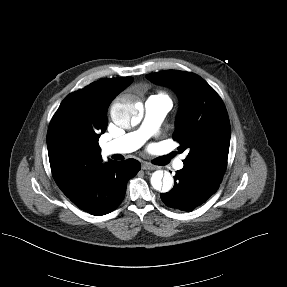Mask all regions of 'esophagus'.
<instances>
[{
	"label": "esophagus",
	"instance_id": "34e87169",
	"mask_svg": "<svg viewBox=\"0 0 287 287\" xmlns=\"http://www.w3.org/2000/svg\"><path fill=\"white\" fill-rule=\"evenodd\" d=\"M142 169L143 170H155L156 169V166L151 164V163H148V162H144L142 164Z\"/></svg>",
	"mask_w": 287,
	"mask_h": 287
}]
</instances>
